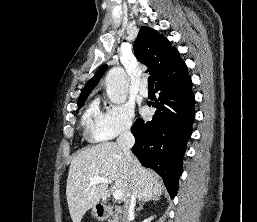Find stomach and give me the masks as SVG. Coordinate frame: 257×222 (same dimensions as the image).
<instances>
[{
    "instance_id": "1",
    "label": "stomach",
    "mask_w": 257,
    "mask_h": 222,
    "mask_svg": "<svg viewBox=\"0 0 257 222\" xmlns=\"http://www.w3.org/2000/svg\"><path fill=\"white\" fill-rule=\"evenodd\" d=\"M92 215H93L94 217L97 216V214H96V212H95L94 210L92 211Z\"/></svg>"
}]
</instances>
